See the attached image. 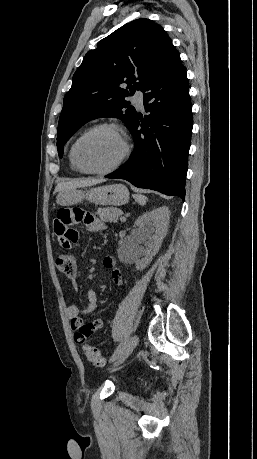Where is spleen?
Returning a JSON list of instances; mask_svg holds the SVG:
<instances>
[{
	"mask_svg": "<svg viewBox=\"0 0 257 459\" xmlns=\"http://www.w3.org/2000/svg\"><path fill=\"white\" fill-rule=\"evenodd\" d=\"M134 198H135V200H136L137 202H139L140 204H144V203H146V201H147V198H146V196H144V195H134Z\"/></svg>",
	"mask_w": 257,
	"mask_h": 459,
	"instance_id": "1",
	"label": "spleen"
}]
</instances>
